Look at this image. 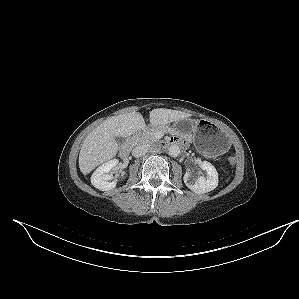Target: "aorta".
<instances>
[{"label":"aorta","mask_w":299,"mask_h":299,"mask_svg":"<svg viewBox=\"0 0 299 299\" xmlns=\"http://www.w3.org/2000/svg\"><path fill=\"white\" fill-rule=\"evenodd\" d=\"M168 154L171 156V157H177L179 156L180 154V148L179 146L177 145H171L169 148H168Z\"/></svg>","instance_id":"1"}]
</instances>
